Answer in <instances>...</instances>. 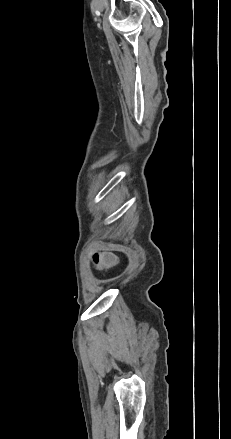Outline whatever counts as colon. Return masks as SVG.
Segmentation results:
<instances>
[{"label": "colon", "instance_id": "5ec220e1", "mask_svg": "<svg viewBox=\"0 0 231 439\" xmlns=\"http://www.w3.org/2000/svg\"><path fill=\"white\" fill-rule=\"evenodd\" d=\"M94 262L100 268H108L115 263L113 257H111L110 255L104 254V253L95 254L94 255Z\"/></svg>", "mask_w": 231, "mask_h": 439}]
</instances>
